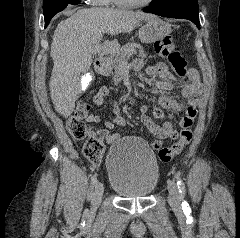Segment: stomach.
<instances>
[{
  "label": "stomach",
  "mask_w": 240,
  "mask_h": 238,
  "mask_svg": "<svg viewBox=\"0 0 240 238\" xmlns=\"http://www.w3.org/2000/svg\"><path fill=\"white\" fill-rule=\"evenodd\" d=\"M172 31L171 24L159 18L147 21L139 29V39L142 43H153L163 39Z\"/></svg>",
  "instance_id": "0dacf381"
}]
</instances>
